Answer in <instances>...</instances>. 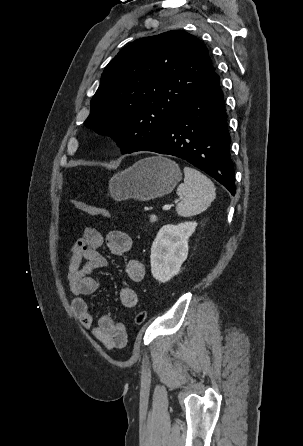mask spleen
Instances as JSON below:
<instances>
[{"mask_svg":"<svg viewBox=\"0 0 303 446\" xmlns=\"http://www.w3.org/2000/svg\"><path fill=\"white\" fill-rule=\"evenodd\" d=\"M184 183L177 188V195L182 201L176 211L182 217H189L205 211L216 197L213 182L200 171L184 167Z\"/></svg>","mask_w":303,"mask_h":446,"instance_id":"1","label":"spleen"}]
</instances>
